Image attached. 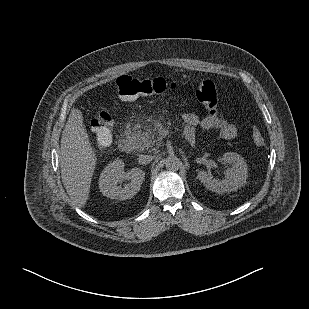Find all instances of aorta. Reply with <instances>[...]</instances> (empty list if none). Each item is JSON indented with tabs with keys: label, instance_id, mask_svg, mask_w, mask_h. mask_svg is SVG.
<instances>
[{
	"label": "aorta",
	"instance_id": "762f6f07",
	"mask_svg": "<svg viewBox=\"0 0 309 309\" xmlns=\"http://www.w3.org/2000/svg\"><path fill=\"white\" fill-rule=\"evenodd\" d=\"M166 169L169 171H178L181 167V161L176 156H169L164 160Z\"/></svg>",
	"mask_w": 309,
	"mask_h": 309
}]
</instances>
